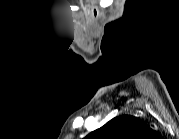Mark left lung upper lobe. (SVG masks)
<instances>
[{
    "instance_id": "1",
    "label": "left lung upper lobe",
    "mask_w": 179,
    "mask_h": 139,
    "mask_svg": "<svg viewBox=\"0 0 179 139\" xmlns=\"http://www.w3.org/2000/svg\"><path fill=\"white\" fill-rule=\"evenodd\" d=\"M152 133L151 128L131 115L111 119L90 134L92 139H144Z\"/></svg>"
}]
</instances>
